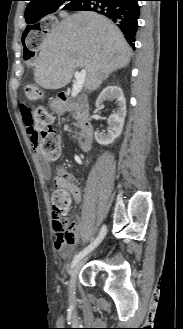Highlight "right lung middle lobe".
Masks as SVG:
<instances>
[{
    "instance_id": "right-lung-middle-lobe-1",
    "label": "right lung middle lobe",
    "mask_w": 183,
    "mask_h": 329,
    "mask_svg": "<svg viewBox=\"0 0 183 329\" xmlns=\"http://www.w3.org/2000/svg\"><path fill=\"white\" fill-rule=\"evenodd\" d=\"M79 0H61V1H57L54 4H52L45 12L44 14L38 15L35 18H33L32 20H30L29 22H27L28 24H33L32 26H30L29 28L26 29V33L30 30V29H35V28H39V24L37 23L42 17H44L45 15L48 14H52V13H56L59 12L61 10H68L70 9V7H72L73 5H75Z\"/></svg>"
}]
</instances>
